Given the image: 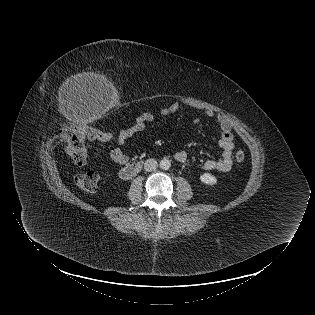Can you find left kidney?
Wrapping results in <instances>:
<instances>
[{"label": "left kidney", "mask_w": 315, "mask_h": 315, "mask_svg": "<svg viewBox=\"0 0 315 315\" xmlns=\"http://www.w3.org/2000/svg\"><path fill=\"white\" fill-rule=\"evenodd\" d=\"M200 179L203 183L208 185H214L217 182V179L211 173H204L200 176Z\"/></svg>", "instance_id": "left-kidney-1"}]
</instances>
